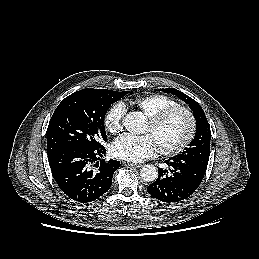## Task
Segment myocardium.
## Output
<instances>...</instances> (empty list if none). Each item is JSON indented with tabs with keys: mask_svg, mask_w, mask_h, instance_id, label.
Listing matches in <instances>:
<instances>
[{
	"mask_svg": "<svg viewBox=\"0 0 259 259\" xmlns=\"http://www.w3.org/2000/svg\"><path fill=\"white\" fill-rule=\"evenodd\" d=\"M177 113H182L186 116L188 120V131L185 137L178 144L169 148H161V147L158 148V151L161 154L166 156L179 154L189 146V144L192 142L196 134V129H197L196 118L190 109L180 105L167 108L149 118L150 127L152 129H156L160 125H162L167 119H169L170 117H172Z\"/></svg>",
	"mask_w": 259,
	"mask_h": 259,
	"instance_id": "myocardium-1",
	"label": "myocardium"
}]
</instances>
